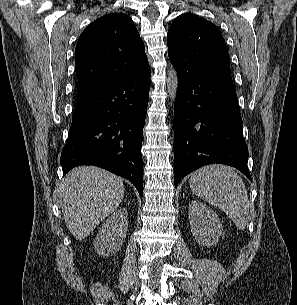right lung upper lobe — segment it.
<instances>
[{
    "instance_id": "1",
    "label": "right lung upper lobe",
    "mask_w": 297,
    "mask_h": 305,
    "mask_svg": "<svg viewBox=\"0 0 297 305\" xmlns=\"http://www.w3.org/2000/svg\"><path fill=\"white\" fill-rule=\"evenodd\" d=\"M148 68L144 43L132 19L124 13L100 17L83 31L76 45L77 102Z\"/></svg>"
}]
</instances>
